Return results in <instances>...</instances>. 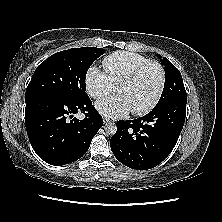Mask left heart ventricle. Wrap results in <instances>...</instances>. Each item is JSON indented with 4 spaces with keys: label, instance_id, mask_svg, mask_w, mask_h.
<instances>
[{
    "label": "left heart ventricle",
    "instance_id": "left-heart-ventricle-1",
    "mask_svg": "<svg viewBox=\"0 0 222 222\" xmlns=\"http://www.w3.org/2000/svg\"><path fill=\"white\" fill-rule=\"evenodd\" d=\"M160 83V73L156 66H147L130 84L122 86L118 92L122 94L131 110L139 109L151 101Z\"/></svg>",
    "mask_w": 222,
    "mask_h": 222
}]
</instances>
